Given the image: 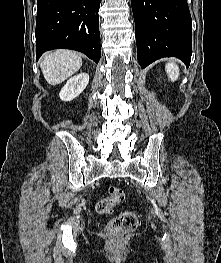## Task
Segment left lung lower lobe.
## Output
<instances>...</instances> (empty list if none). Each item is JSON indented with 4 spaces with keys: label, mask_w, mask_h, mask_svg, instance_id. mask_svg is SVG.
Here are the masks:
<instances>
[{
    "label": "left lung lower lobe",
    "mask_w": 221,
    "mask_h": 263,
    "mask_svg": "<svg viewBox=\"0 0 221 263\" xmlns=\"http://www.w3.org/2000/svg\"><path fill=\"white\" fill-rule=\"evenodd\" d=\"M131 5L141 67L171 56L189 66L192 20L187 0H131Z\"/></svg>",
    "instance_id": "obj_1"
}]
</instances>
